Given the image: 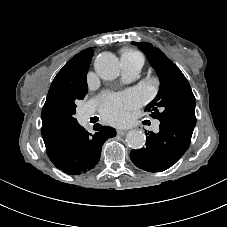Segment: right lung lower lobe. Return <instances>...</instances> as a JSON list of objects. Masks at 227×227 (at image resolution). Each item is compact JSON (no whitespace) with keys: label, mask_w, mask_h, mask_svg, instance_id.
<instances>
[{"label":"right lung lower lobe","mask_w":227,"mask_h":227,"mask_svg":"<svg viewBox=\"0 0 227 227\" xmlns=\"http://www.w3.org/2000/svg\"><path fill=\"white\" fill-rule=\"evenodd\" d=\"M94 133L87 132L76 124L66 131L44 139L46 152L53 164L69 175H79L97 165L103 143L116 136L109 126L95 124Z\"/></svg>","instance_id":"right-lung-lower-lobe-1"}]
</instances>
